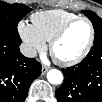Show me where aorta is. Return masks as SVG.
I'll return each mask as SVG.
<instances>
[{"instance_id": "aorta-1", "label": "aorta", "mask_w": 102, "mask_h": 102, "mask_svg": "<svg viewBox=\"0 0 102 102\" xmlns=\"http://www.w3.org/2000/svg\"><path fill=\"white\" fill-rule=\"evenodd\" d=\"M47 80L54 85L61 84L63 81V74L57 69H51L47 73Z\"/></svg>"}]
</instances>
